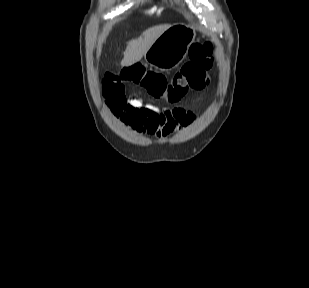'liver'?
Segmentation results:
<instances>
[{"mask_svg":"<svg viewBox=\"0 0 309 288\" xmlns=\"http://www.w3.org/2000/svg\"><path fill=\"white\" fill-rule=\"evenodd\" d=\"M170 27L171 25L168 24L151 27L144 31L138 39L130 41L124 52L121 66H130L139 61L154 41Z\"/></svg>","mask_w":309,"mask_h":288,"instance_id":"6515ba94","label":"liver"}]
</instances>
